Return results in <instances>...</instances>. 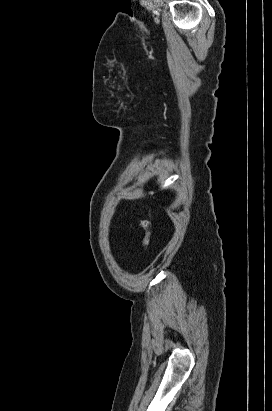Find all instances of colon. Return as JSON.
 I'll list each match as a JSON object with an SVG mask.
<instances>
[{"label":"colon","instance_id":"5ec220e1","mask_svg":"<svg viewBox=\"0 0 272 411\" xmlns=\"http://www.w3.org/2000/svg\"><path fill=\"white\" fill-rule=\"evenodd\" d=\"M141 227L143 229L142 246L147 248L150 243L151 232L149 228V223L146 220L141 222Z\"/></svg>","mask_w":272,"mask_h":411}]
</instances>
